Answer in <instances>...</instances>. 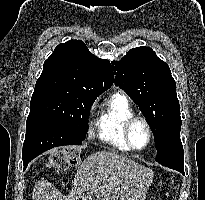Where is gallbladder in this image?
I'll use <instances>...</instances> for the list:
<instances>
[{
  "mask_svg": "<svg viewBox=\"0 0 205 200\" xmlns=\"http://www.w3.org/2000/svg\"><path fill=\"white\" fill-rule=\"evenodd\" d=\"M79 200H89V198L82 196Z\"/></svg>",
  "mask_w": 205,
  "mask_h": 200,
  "instance_id": "bac80fb5",
  "label": "gallbladder"
}]
</instances>
